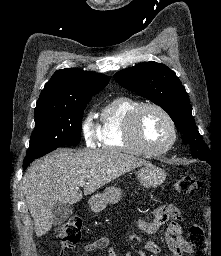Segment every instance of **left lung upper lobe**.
<instances>
[{
    "label": "left lung upper lobe",
    "instance_id": "obj_1",
    "mask_svg": "<svg viewBox=\"0 0 221 256\" xmlns=\"http://www.w3.org/2000/svg\"><path fill=\"white\" fill-rule=\"evenodd\" d=\"M114 78L122 87L163 108L182 134L184 143L190 146L191 155L210 161V149L197 130L189 96L174 71L164 64L150 61L117 72Z\"/></svg>",
    "mask_w": 221,
    "mask_h": 256
}]
</instances>
